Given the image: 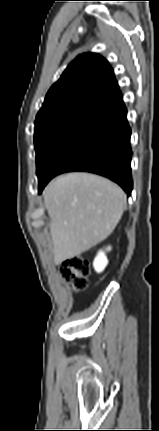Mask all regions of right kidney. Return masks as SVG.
Listing matches in <instances>:
<instances>
[{"label":"right kidney","mask_w":159,"mask_h":431,"mask_svg":"<svg viewBox=\"0 0 159 431\" xmlns=\"http://www.w3.org/2000/svg\"><path fill=\"white\" fill-rule=\"evenodd\" d=\"M110 250V248H108ZM108 264L107 257L103 251H100L94 259L93 266L97 273L102 272Z\"/></svg>","instance_id":"ca27d5eb"}]
</instances>
